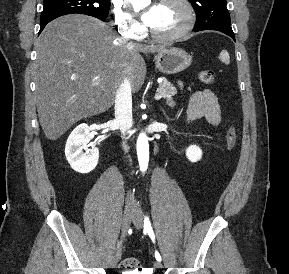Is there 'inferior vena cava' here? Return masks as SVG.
<instances>
[{
    "label": "inferior vena cava",
    "mask_w": 289,
    "mask_h": 274,
    "mask_svg": "<svg viewBox=\"0 0 289 274\" xmlns=\"http://www.w3.org/2000/svg\"><path fill=\"white\" fill-rule=\"evenodd\" d=\"M123 40L128 38L122 33ZM115 120L120 127L122 134L132 126V93L131 82L128 78H124L120 84L115 97ZM124 150L127 151L126 145Z\"/></svg>",
    "instance_id": "obj_1"
}]
</instances>
